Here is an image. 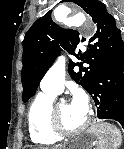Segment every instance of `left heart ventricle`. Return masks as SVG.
<instances>
[{
    "label": "left heart ventricle",
    "mask_w": 124,
    "mask_h": 149,
    "mask_svg": "<svg viewBox=\"0 0 124 149\" xmlns=\"http://www.w3.org/2000/svg\"><path fill=\"white\" fill-rule=\"evenodd\" d=\"M62 123L66 128L74 129L83 124L87 114L74 109L69 102L63 101L58 104Z\"/></svg>",
    "instance_id": "left-heart-ventricle-1"
}]
</instances>
